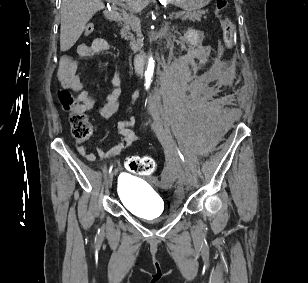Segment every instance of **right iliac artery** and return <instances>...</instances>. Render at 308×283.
I'll return each mask as SVG.
<instances>
[{
    "mask_svg": "<svg viewBox=\"0 0 308 283\" xmlns=\"http://www.w3.org/2000/svg\"><path fill=\"white\" fill-rule=\"evenodd\" d=\"M112 169H113V165L109 168V173L112 172Z\"/></svg>",
    "mask_w": 308,
    "mask_h": 283,
    "instance_id": "obj_1",
    "label": "right iliac artery"
}]
</instances>
